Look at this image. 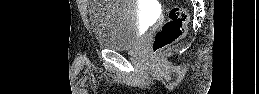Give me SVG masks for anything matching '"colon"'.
Wrapping results in <instances>:
<instances>
[{
  "label": "colon",
  "instance_id": "5ec220e1",
  "mask_svg": "<svg viewBox=\"0 0 259 94\" xmlns=\"http://www.w3.org/2000/svg\"><path fill=\"white\" fill-rule=\"evenodd\" d=\"M188 22V13L180 6L172 7L168 17L155 33L152 42L153 55H157L185 35Z\"/></svg>",
  "mask_w": 259,
  "mask_h": 94
}]
</instances>
